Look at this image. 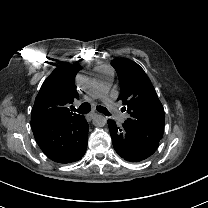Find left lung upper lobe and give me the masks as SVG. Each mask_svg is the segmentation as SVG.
<instances>
[{
    "label": "left lung upper lobe",
    "mask_w": 208,
    "mask_h": 208,
    "mask_svg": "<svg viewBox=\"0 0 208 208\" xmlns=\"http://www.w3.org/2000/svg\"><path fill=\"white\" fill-rule=\"evenodd\" d=\"M111 65L121 84L118 100L125 105L122 110L130 115L127 122L139 133L159 142L163 137L164 108L150 79L132 60L118 58L112 60Z\"/></svg>",
    "instance_id": "obj_1"
}]
</instances>
